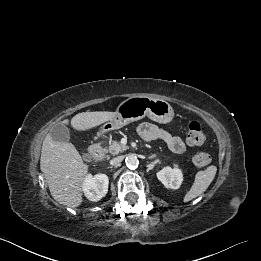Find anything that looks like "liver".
<instances>
[{
	"mask_svg": "<svg viewBox=\"0 0 261 261\" xmlns=\"http://www.w3.org/2000/svg\"><path fill=\"white\" fill-rule=\"evenodd\" d=\"M115 116L116 112H82L71 119V125L75 130L86 131ZM68 123L67 119L62 122ZM40 169L56 201L72 208L81 205L82 185L88 175V165L74 145L54 141L50 133L47 134L42 144Z\"/></svg>",
	"mask_w": 261,
	"mask_h": 261,
	"instance_id": "6515ba94",
	"label": "liver"
}]
</instances>
